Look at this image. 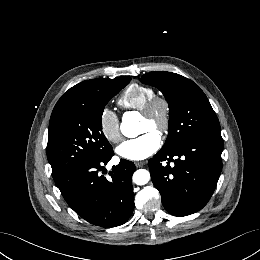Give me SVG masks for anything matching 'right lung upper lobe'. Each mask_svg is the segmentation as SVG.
<instances>
[{"instance_id": "obj_1", "label": "right lung upper lobe", "mask_w": 260, "mask_h": 260, "mask_svg": "<svg viewBox=\"0 0 260 260\" xmlns=\"http://www.w3.org/2000/svg\"><path fill=\"white\" fill-rule=\"evenodd\" d=\"M130 77H119L115 79H104L97 78L92 80L83 81L74 87L70 88L56 103L51 119L56 118L60 115L65 109L68 107H72L74 105L80 104L84 102L87 97L95 90H98L101 86L109 83V82H119L125 81ZM50 119V120H51Z\"/></svg>"}]
</instances>
